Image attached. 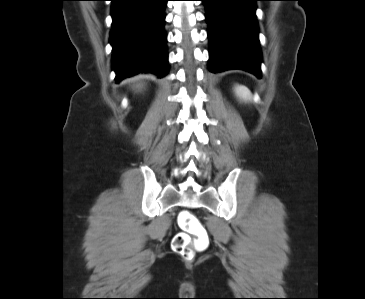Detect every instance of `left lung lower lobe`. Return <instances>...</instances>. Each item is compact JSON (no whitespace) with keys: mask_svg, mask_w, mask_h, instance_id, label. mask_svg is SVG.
I'll return each mask as SVG.
<instances>
[{"mask_svg":"<svg viewBox=\"0 0 365 299\" xmlns=\"http://www.w3.org/2000/svg\"><path fill=\"white\" fill-rule=\"evenodd\" d=\"M210 43L209 70L243 69L261 78L256 1L202 0Z\"/></svg>","mask_w":365,"mask_h":299,"instance_id":"0a47b994","label":"left lung lower lobe"}]
</instances>
